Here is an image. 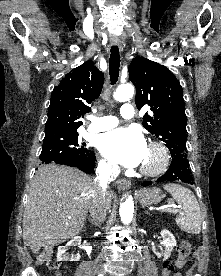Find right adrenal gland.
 <instances>
[{
	"mask_svg": "<svg viewBox=\"0 0 221 276\" xmlns=\"http://www.w3.org/2000/svg\"><path fill=\"white\" fill-rule=\"evenodd\" d=\"M89 222L94 225V226H97V227H100L101 225L99 223H95L93 222L91 219H89Z\"/></svg>",
	"mask_w": 221,
	"mask_h": 276,
	"instance_id": "1",
	"label": "right adrenal gland"
}]
</instances>
